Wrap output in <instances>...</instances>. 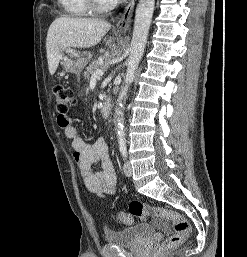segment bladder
<instances>
[{
    "mask_svg": "<svg viewBox=\"0 0 247 257\" xmlns=\"http://www.w3.org/2000/svg\"><path fill=\"white\" fill-rule=\"evenodd\" d=\"M154 232L155 229L152 225L140 223L120 230L106 229L104 237L105 240L111 244L118 246H134L151 236Z\"/></svg>",
    "mask_w": 247,
    "mask_h": 257,
    "instance_id": "bladder-1",
    "label": "bladder"
}]
</instances>
